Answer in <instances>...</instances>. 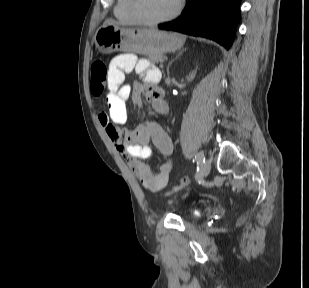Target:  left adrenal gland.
I'll use <instances>...</instances> for the list:
<instances>
[{"label": "left adrenal gland", "instance_id": "a2214340", "mask_svg": "<svg viewBox=\"0 0 309 288\" xmlns=\"http://www.w3.org/2000/svg\"><path fill=\"white\" fill-rule=\"evenodd\" d=\"M186 50H187V48L182 49V50L177 54V56L175 57L174 60H176V59H177L184 51H186ZM174 60L170 61V63L168 64V67H167V73H168V74H169V67H170V65L172 64V62H173Z\"/></svg>", "mask_w": 309, "mask_h": 288}]
</instances>
